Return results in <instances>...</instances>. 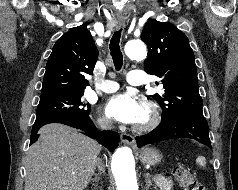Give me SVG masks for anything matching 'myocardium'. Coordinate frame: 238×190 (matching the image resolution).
<instances>
[{"instance_id": "1", "label": "myocardium", "mask_w": 238, "mask_h": 190, "mask_svg": "<svg viewBox=\"0 0 238 190\" xmlns=\"http://www.w3.org/2000/svg\"><path fill=\"white\" fill-rule=\"evenodd\" d=\"M141 107L146 112V119L142 122L135 123L133 130L139 133H145L153 130L160 122V112L158 107L148 99L141 100Z\"/></svg>"}]
</instances>
